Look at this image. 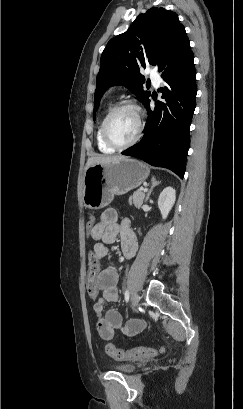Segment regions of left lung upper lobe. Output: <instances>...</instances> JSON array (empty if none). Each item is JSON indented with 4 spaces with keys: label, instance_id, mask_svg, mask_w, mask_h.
<instances>
[{
    "label": "left lung upper lobe",
    "instance_id": "obj_1",
    "mask_svg": "<svg viewBox=\"0 0 243 409\" xmlns=\"http://www.w3.org/2000/svg\"><path fill=\"white\" fill-rule=\"evenodd\" d=\"M188 41L176 13L153 7L140 14L126 32L108 42L101 55L94 119L102 95L113 85L124 84L144 104L150 92L144 90L140 68L151 64L162 72Z\"/></svg>",
    "mask_w": 243,
    "mask_h": 409
}]
</instances>
